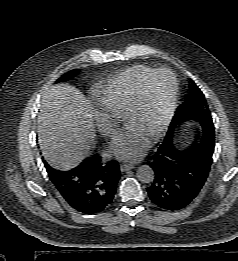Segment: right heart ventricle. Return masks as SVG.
I'll return each instance as SVG.
<instances>
[{
  "label": "right heart ventricle",
  "instance_id": "e07e8e85",
  "mask_svg": "<svg viewBox=\"0 0 238 261\" xmlns=\"http://www.w3.org/2000/svg\"><path fill=\"white\" fill-rule=\"evenodd\" d=\"M152 71L153 68L145 65L127 68L97 91L98 103L108 112L125 117L140 82Z\"/></svg>",
  "mask_w": 238,
  "mask_h": 261
}]
</instances>
